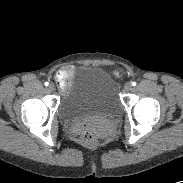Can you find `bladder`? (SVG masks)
<instances>
[{
  "mask_svg": "<svg viewBox=\"0 0 183 183\" xmlns=\"http://www.w3.org/2000/svg\"><path fill=\"white\" fill-rule=\"evenodd\" d=\"M121 109L116 82L99 68H90L81 84L64 92L59 107L61 117L69 122L92 116L113 119Z\"/></svg>",
  "mask_w": 183,
  "mask_h": 183,
  "instance_id": "31cf9c89",
  "label": "bladder"
}]
</instances>
